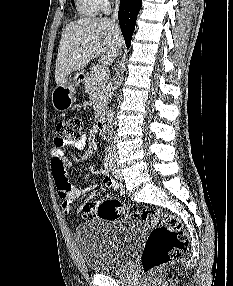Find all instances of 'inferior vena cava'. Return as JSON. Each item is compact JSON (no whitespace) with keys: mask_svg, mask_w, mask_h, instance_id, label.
I'll use <instances>...</instances> for the list:
<instances>
[{"mask_svg":"<svg viewBox=\"0 0 233 286\" xmlns=\"http://www.w3.org/2000/svg\"><path fill=\"white\" fill-rule=\"evenodd\" d=\"M118 9H119V0H116V6H115L114 12L112 14V21L113 22H116L118 19Z\"/></svg>","mask_w":233,"mask_h":286,"instance_id":"obj_1","label":"inferior vena cava"}]
</instances>
